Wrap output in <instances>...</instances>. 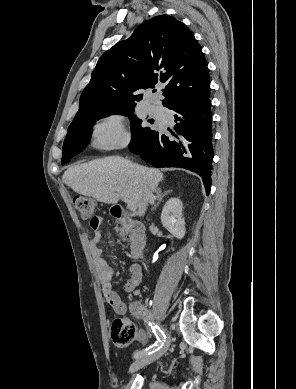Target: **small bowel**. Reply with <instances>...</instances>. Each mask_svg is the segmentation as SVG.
I'll list each match as a JSON object with an SVG mask.
<instances>
[{"label": "small bowel", "mask_w": 296, "mask_h": 389, "mask_svg": "<svg viewBox=\"0 0 296 389\" xmlns=\"http://www.w3.org/2000/svg\"><path fill=\"white\" fill-rule=\"evenodd\" d=\"M103 221L98 218L96 223L92 225L94 230V236L90 242V252L94 260V264L99 273L100 280L103 284V293L107 303L113 308L117 314H124L127 310V303L124 302L119 294L112 288L111 280L113 277V271L108 262L102 256V248L100 246L102 240V227ZM130 277L124 285V291L127 293L137 292V287L142 280V270L139 264L132 263L129 268ZM145 333L138 331L135 333L134 340L136 342H144Z\"/></svg>", "instance_id": "1"}]
</instances>
